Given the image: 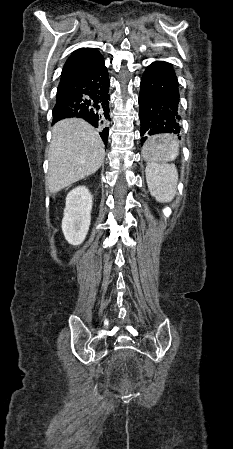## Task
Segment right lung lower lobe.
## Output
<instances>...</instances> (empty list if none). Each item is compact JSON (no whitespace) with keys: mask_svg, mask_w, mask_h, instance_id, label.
<instances>
[{"mask_svg":"<svg viewBox=\"0 0 233 449\" xmlns=\"http://www.w3.org/2000/svg\"><path fill=\"white\" fill-rule=\"evenodd\" d=\"M109 86L104 60L81 78L58 87L53 123L70 117L83 118L94 126L107 145Z\"/></svg>","mask_w":233,"mask_h":449,"instance_id":"1","label":"right lung lower lobe"}]
</instances>
